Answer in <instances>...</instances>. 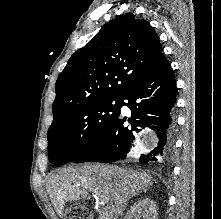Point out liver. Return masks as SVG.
I'll list each match as a JSON object with an SVG mask.
<instances>
[{"label":"liver","mask_w":221,"mask_h":219,"mask_svg":"<svg viewBox=\"0 0 221 219\" xmlns=\"http://www.w3.org/2000/svg\"><path fill=\"white\" fill-rule=\"evenodd\" d=\"M152 185V176L144 172L88 163L58 169L48 181L47 192L60 217L66 202L90 200L89 192L108 204L112 216H118L132 197Z\"/></svg>","instance_id":"1"}]
</instances>
